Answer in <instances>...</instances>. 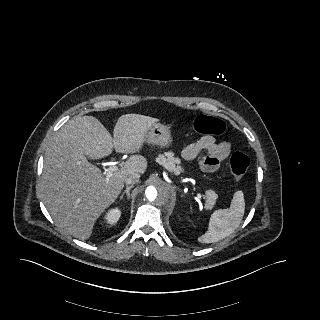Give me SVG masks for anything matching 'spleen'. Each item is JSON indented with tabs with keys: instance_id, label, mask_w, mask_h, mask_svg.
Segmentation results:
<instances>
[{
	"instance_id": "obj_1",
	"label": "spleen",
	"mask_w": 320,
	"mask_h": 320,
	"mask_svg": "<svg viewBox=\"0 0 320 320\" xmlns=\"http://www.w3.org/2000/svg\"><path fill=\"white\" fill-rule=\"evenodd\" d=\"M245 212V200L242 191H236L229 209L214 211L209 220L208 230L198 237L201 243L218 242L231 235L240 225Z\"/></svg>"
}]
</instances>
